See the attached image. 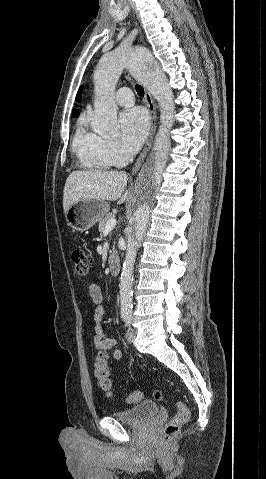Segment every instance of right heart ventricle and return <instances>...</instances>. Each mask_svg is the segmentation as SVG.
I'll return each instance as SVG.
<instances>
[{
	"label": "right heart ventricle",
	"mask_w": 266,
	"mask_h": 479,
	"mask_svg": "<svg viewBox=\"0 0 266 479\" xmlns=\"http://www.w3.org/2000/svg\"><path fill=\"white\" fill-rule=\"evenodd\" d=\"M101 141L102 138L88 132L84 127V120H80L73 138L72 148L82 167L96 170L111 168V162L102 153Z\"/></svg>",
	"instance_id": "1"
}]
</instances>
